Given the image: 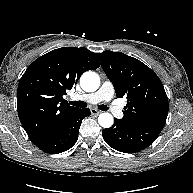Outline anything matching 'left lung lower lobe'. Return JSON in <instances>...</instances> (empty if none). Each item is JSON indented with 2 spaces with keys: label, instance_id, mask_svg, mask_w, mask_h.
Listing matches in <instances>:
<instances>
[{
  "label": "left lung lower lobe",
  "instance_id": "obj_1",
  "mask_svg": "<svg viewBox=\"0 0 193 193\" xmlns=\"http://www.w3.org/2000/svg\"><path fill=\"white\" fill-rule=\"evenodd\" d=\"M163 124L128 126L114 119L112 127L102 131L105 142L124 153H136L150 146L162 131Z\"/></svg>",
  "mask_w": 193,
  "mask_h": 193
}]
</instances>
